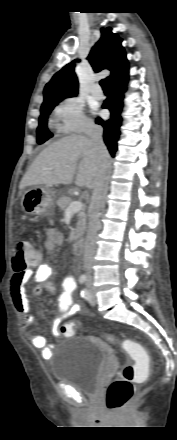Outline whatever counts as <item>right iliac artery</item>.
I'll list each match as a JSON object with an SVG mask.
<instances>
[{"mask_svg": "<svg viewBox=\"0 0 177 440\" xmlns=\"http://www.w3.org/2000/svg\"><path fill=\"white\" fill-rule=\"evenodd\" d=\"M86 280H87V277H86V275H81V276H80V278H79V282H80V284H83V283H85V282H86Z\"/></svg>", "mask_w": 177, "mask_h": 440, "instance_id": "82829eb1", "label": "right iliac artery"}]
</instances>
